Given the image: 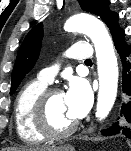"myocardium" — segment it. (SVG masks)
I'll list each match as a JSON object with an SVG mask.
<instances>
[{
  "label": "myocardium",
  "mask_w": 131,
  "mask_h": 151,
  "mask_svg": "<svg viewBox=\"0 0 131 151\" xmlns=\"http://www.w3.org/2000/svg\"><path fill=\"white\" fill-rule=\"evenodd\" d=\"M62 90L57 87L46 88L38 97L34 107V125L37 131L48 139H62L70 136L78 127V122L75 121L72 125L64 130H54L48 119V105L51 98L57 94H61Z\"/></svg>",
  "instance_id": "f54148a6"
}]
</instances>
